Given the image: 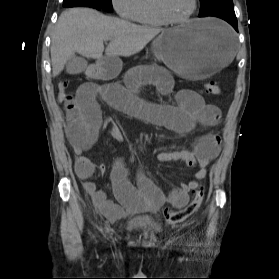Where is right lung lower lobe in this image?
<instances>
[{"label":"right lung lower lobe","instance_id":"right-lung-lower-lobe-1","mask_svg":"<svg viewBox=\"0 0 279 279\" xmlns=\"http://www.w3.org/2000/svg\"><path fill=\"white\" fill-rule=\"evenodd\" d=\"M63 6L64 7L83 6V7H92L98 10L101 9L96 3H94L91 0H64Z\"/></svg>","mask_w":279,"mask_h":279}]
</instances>
